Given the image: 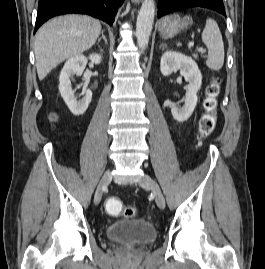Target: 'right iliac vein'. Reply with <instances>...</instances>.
Instances as JSON below:
<instances>
[{"label": "right iliac vein", "mask_w": 265, "mask_h": 269, "mask_svg": "<svg viewBox=\"0 0 265 269\" xmlns=\"http://www.w3.org/2000/svg\"><path fill=\"white\" fill-rule=\"evenodd\" d=\"M112 180V175H111V172L110 171H106L100 182H99V185L96 189V192H95V196H94V203L97 205L99 204L101 198H102V194H103V189L111 182Z\"/></svg>", "instance_id": "1"}]
</instances>
